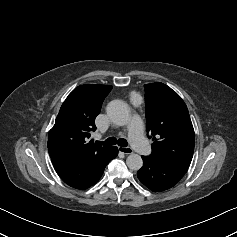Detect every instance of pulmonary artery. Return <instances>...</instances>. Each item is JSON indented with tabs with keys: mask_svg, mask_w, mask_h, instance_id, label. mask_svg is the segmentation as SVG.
<instances>
[{
	"mask_svg": "<svg viewBox=\"0 0 237 237\" xmlns=\"http://www.w3.org/2000/svg\"><path fill=\"white\" fill-rule=\"evenodd\" d=\"M129 141L132 147L142 155H148L151 148L143 135V122L138 116H134L128 127Z\"/></svg>",
	"mask_w": 237,
	"mask_h": 237,
	"instance_id": "pulmonary-artery-1",
	"label": "pulmonary artery"
}]
</instances>
